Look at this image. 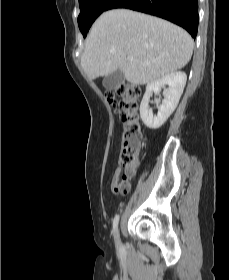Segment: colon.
I'll use <instances>...</instances> for the list:
<instances>
[{"instance_id": "5ec220e1", "label": "colon", "mask_w": 229, "mask_h": 280, "mask_svg": "<svg viewBox=\"0 0 229 280\" xmlns=\"http://www.w3.org/2000/svg\"><path fill=\"white\" fill-rule=\"evenodd\" d=\"M115 94L120 97L119 116L123 123L118 160L126 170H129L135 163L142 145L139 122L142 90L129 83L120 85L115 93L108 92V100L114 106L117 105ZM112 189L116 192H127L130 189V173L128 171L124 173L119 182L112 184Z\"/></svg>"}]
</instances>
